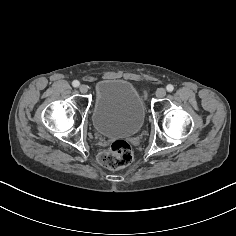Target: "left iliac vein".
Returning a JSON list of instances; mask_svg holds the SVG:
<instances>
[{
    "label": "left iliac vein",
    "instance_id": "4c4485c4",
    "mask_svg": "<svg viewBox=\"0 0 236 236\" xmlns=\"http://www.w3.org/2000/svg\"><path fill=\"white\" fill-rule=\"evenodd\" d=\"M155 94H156V97L163 98L166 95V90L164 88H158Z\"/></svg>",
    "mask_w": 236,
    "mask_h": 236
}]
</instances>
